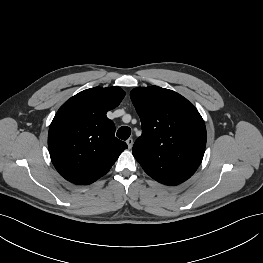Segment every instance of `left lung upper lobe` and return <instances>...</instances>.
<instances>
[{"label": "left lung upper lobe", "mask_w": 263, "mask_h": 263, "mask_svg": "<svg viewBox=\"0 0 263 263\" xmlns=\"http://www.w3.org/2000/svg\"><path fill=\"white\" fill-rule=\"evenodd\" d=\"M130 97L142 124L133 155L145 172L153 178L170 166L194 174L207 139L197 109L180 94L158 86L135 88Z\"/></svg>", "instance_id": "1"}]
</instances>
